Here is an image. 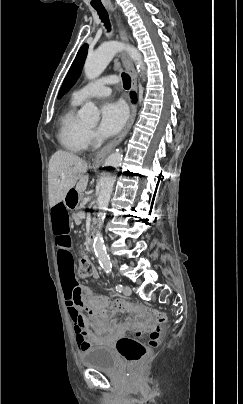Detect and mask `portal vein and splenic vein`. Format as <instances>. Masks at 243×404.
I'll return each instance as SVG.
<instances>
[{
	"instance_id": "portal-vein-and-splenic-vein-1",
	"label": "portal vein and splenic vein",
	"mask_w": 243,
	"mask_h": 404,
	"mask_svg": "<svg viewBox=\"0 0 243 404\" xmlns=\"http://www.w3.org/2000/svg\"><path fill=\"white\" fill-rule=\"evenodd\" d=\"M77 212H78V215H77V216L84 217V213H85V210H84V209H81L80 211H77Z\"/></svg>"
}]
</instances>
